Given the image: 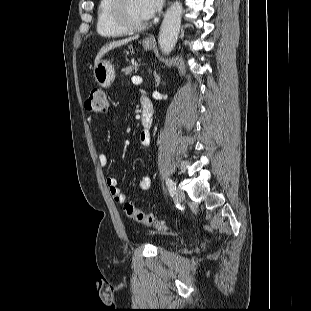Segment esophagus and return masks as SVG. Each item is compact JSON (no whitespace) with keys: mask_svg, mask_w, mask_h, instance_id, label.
I'll use <instances>...</instances> for the list:
<instances>
[{"mask_svg":"<svg viewBox=\"0 0 311 311\" xmlns=\"http://www.w3.org/2000/svg\"><path fill=\"white\" fill-rule=\"evenodd\" d=\"M149 40H150V41H152V40H153V38H152V37H150V38H149Z\"/></svg>","mask_w":311,"mask_h":311,"instance_id":"1","label":"esophagus"}]
</instances>
